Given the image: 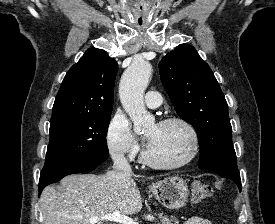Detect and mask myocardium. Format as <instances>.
<instances>
[{
	"mask_svg": "<svg viewBox=\"0 0 275 224\" xmlns=\"http://www.w3.org/2000/svg\"><path fill=\"white\" fill-rule=\"evenodd\" d=\"M172 123H178L181 124L182 126H184L187 131L190 134L191 137V151L189 153V155L181 162L178 163H174V164H168V163H163V162H159L156 159H154L148 148H146L143 158L146 164H148L149 166L156 168V169H162V170H176V169H180L183 168L187 165H189L197 156L198 150H199V137H198V133L195 129V127L186 119L182 118V117H178V116H170V117H166L161 119L160 121H158V125L164 126V125H168V124H172Z\"/></svg>",
	"mask_w": 275,
	"mask_h": 224,
	"instance_id": "f54148a6",
	"label": "myocardium"
}]
</instances>
